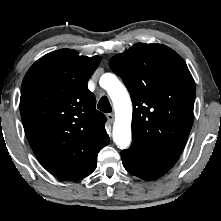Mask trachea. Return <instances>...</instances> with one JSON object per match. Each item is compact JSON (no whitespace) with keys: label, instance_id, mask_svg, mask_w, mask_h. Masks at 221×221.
<instances>
[{"label":"trachea","instance_id":"1","mask_svg":"<svg viewBox=\"0 0 221 221\" xmlns=\"http://www.w3.org/2000/svg\"><path fill=\"white\" fill-rule=\"evenodd\" d=\"M97 108L104 113L112 112V107H111L110 102L106 96H103L99 100Z\"/></svg>","mask_w":221,"mask_h":221}]
</instances>
